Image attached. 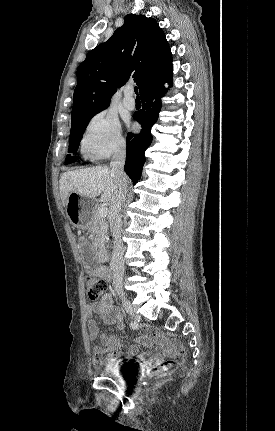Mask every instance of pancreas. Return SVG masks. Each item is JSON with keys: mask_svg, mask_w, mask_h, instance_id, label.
I'll list each match as a JSON object with an SVG mask.
<instances>
[{"mask_svg": "<svg viewBox=\"0 0 275 431\" xmlns=\"http://www.w3.org/2000/svg\"><path fill=\"white\" fill-rule=\"evenodd\" d=\"M88 230L91 232V241L94 249H101L106 237L107 223L104 218L100 217L99 207L92 211L91 223Z\"/></svg>", "mask_w": 275, "mask_h": 431, "instance_id": "pancreas-1", "label": "pancreas"}]
</instances>
